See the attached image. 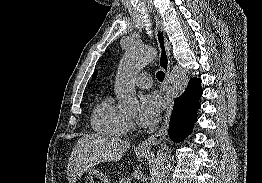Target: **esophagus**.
Listing matches in <instances>:
<instances>
[{
	"instance_id": "1",
	"label": "esophagus",
	"mask_w": 262,
	"mask_h": 183,
	"mask_svg": "<svg viewBox=\"0 0 262 183\" xmlns=\"http://www.w3.org/2000/svg\"><path fill=\"white\" fill-rule=\"evenodd\" d=\"M155 22V37L159 48V66L165 73L163 96L166 101V112L161 128L146 140L138 144L137 150L141 152H150L152 146L156 145L165 136L169 127L170 116L173 108V100L167 89V80L170 75V52L162 23L157 17Z\"/></svg>"
}]
</instances>
